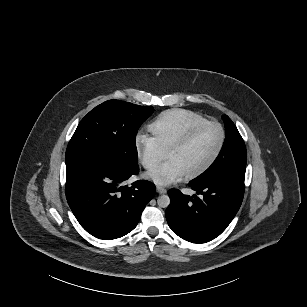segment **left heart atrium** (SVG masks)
<instances>
[{
	"mask_svg": "<svg viewBox=\"0 0 307 307\" xmlns=\"http://www.w3.org/2000/svg\"><path fill=\"white\" fill-rule=\"evenodd\" d=\"M146 177L153 180L156 184L167 185L173 181L183 179L185 174L176 164L166 161L156 170L148 173Z\"/></svg>",
	"mask_w": 307,
	"mask_h": 307,
	"instance_id": "39dd6f15",
	"label": "left heart atrium"
}]
</instances>
